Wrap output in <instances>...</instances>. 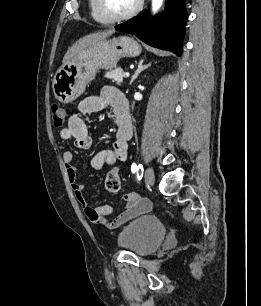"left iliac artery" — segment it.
I'll return each instance as SVG.
<instances>
[{"mask_svg": "<svg viewBox=\"0 0 261 306\" xmlns=\"http://www.w3.org/2000/svg\"><path fill=\"white\" fill-rule=\"evenodd\" d=\"M131 171L133 173L137 172L138 179L142 178V176H143V166H142V164L136 165L135 163H133L132 166H131Z\"/></svg>", "mask_w": 261, "mask_h": 306, "instance_id": "44dca946", "label": "left iliac artery"}]
</instances>
